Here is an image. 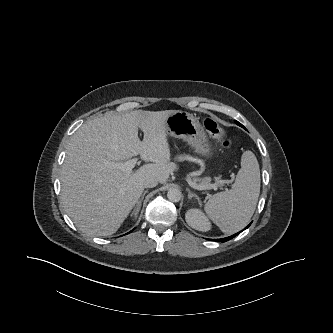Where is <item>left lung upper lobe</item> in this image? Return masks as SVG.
Instances as JSON below:
<instances>
[{
    "instance_id": "5c2ea615",
    "label": "left lung upper lobe",
    "mask_w": 333,
    "mask_h": 333,
    "mask_svg": "<svg viewBox=\"0 0 333 333\" xmlns=\"http://www.w3.org/2000/svg\"><path fill=\"white\" fill-rule=\"evenodd\" d=\"M236 123H237L238 125L242 126L239 122L236 121Z\"/></svg>"
}]
</instances>
